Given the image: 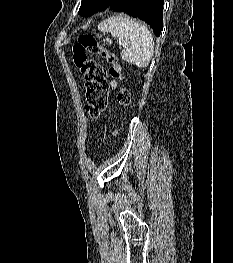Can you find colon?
<instances>
[{"label":"colon","mask_w":233,"mask_h":263,"mask_svg":"<svg viewBox=\"0 0 233 263\" xmlns=\"http://www.w3.org/2000/svg\"><path fill=\"white\" fill-rule=\"evenodd\" d=\"M90 55H100L110 65L106 70L95 63ZM73 62L85 78V110L92 118L99 117L108 105V82L107 75L113 79L122 81V68L115 54L101 46L90 34H81L78 41L73 45ZM118 103L127 108L132 103L130 91L120 85L117 94Z\"/></svg>","instance_id":"5ec220e1"}]
</instances>
